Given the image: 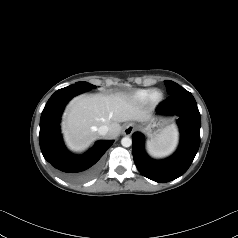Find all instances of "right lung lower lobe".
<instances>
[{
	"mask_svg": "<svg viewBox=\"0 0 238 238\" xmlns=\"http://www.w3.org/2000/svg\"><path fill=\"white\" fill-rule=\"evenodd\" d=\"M85 92L77 84L57 90L46 103L41 119L39 142L44 158L62 172L71 182H82L91 178L100 165L99 159L113 141H99L84 155H73L64 146L60 135V117L67 102Z\"/></svg>",
	"mask_w": 238,
	"mask_h": 238,
	"instance_id": "right-lung-lower-lobe-1",
	"label": "right lung lower lobe"
}]
</instances>
